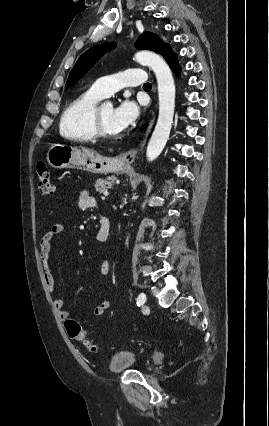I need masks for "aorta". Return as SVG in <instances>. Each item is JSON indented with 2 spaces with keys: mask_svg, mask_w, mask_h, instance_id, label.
I'll return each mask as SVG.
<instances>
[{
  "mask_svg": "<svg viewBox=\"0 0 269 426\" xmlns=\"http://www.w3.org/2000/svg\"><path fill=\"white\" fill-rule=\"evenodd\" d=\"M135 60L153 70L158 84L159 115L146 151L148 161H153L169 139L175 107V84L168 64L160 55L144 50L135 54Z\"/></svg>",
  "mask_w": 269,
  "mask_h": 426,
  "instance_id": "aorta-1",
  "label": "aorta"
}]
</instances>
